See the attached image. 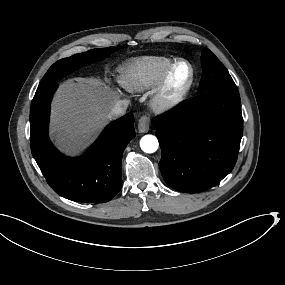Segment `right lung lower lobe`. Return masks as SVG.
<instances>
[{"label": "right lung lower lobe", "mask_w": 285, "mask_h": 285, "mask_svg": "<svg viewBox=\"0 0 285 285\" xmlns=\"http://www.w3.org/2000/svg\"><path fill=\"white\" fill-rule=\"evenodd\" d=\"M57 86L37 90L32 100V155L47 183L60 196L82 203L108 202L122 187V155L135 137L134 116L129 113L110 124L86 154L66 157L48 136L50 102Z\"/></svg>", "instance_id": "right-lung-lower-lobe-1"}]
</instances>
